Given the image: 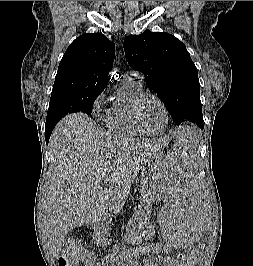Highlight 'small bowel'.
<instances>
[{"label":"small bowel","instance_id":"c3829d8e","mask_svg":"<svg viewBox=\"0 0 253 266\" xmlns=\"http://www.w3.org/2000/svg\"><path fill=\"white\" fill-rule=\"evenodd\" d=\"M152 251L158 253L161 252L162 249L160 247H153L151 248ZM138 254L133 251H123L120 253L118 257V265L120 266H139V263L137 261ZM167 261L170 260L169 258L166 259ZM111 262V258H107L105 262L98 263L96 262L95 266H102L105 263ZM143 266H153L152 259L146 258L143 260ZM163 266H170L167 263H163Z\"/></svg>","mask_w":253,"mask_h":266}]
</instances>
